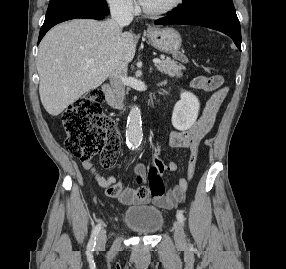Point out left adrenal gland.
<instances>
[{
	"label": "left adrenal gland",
	"instance_id": "left-adrenal-gland-1",
	"mask_svg": "<svg viewBox=\"0 0 286 269\" xmlns=\"http://www.w3.org/2000/svg\"><path fill=\"white\" fill-rule=\"evenodd\" d=\"M150 71H152V68L150 69ZM164 82H162V84H163Z\"/></svg>",
	"mask_w": 286,
	"mask_h": 269
}]
</instances>
